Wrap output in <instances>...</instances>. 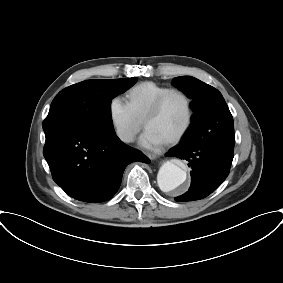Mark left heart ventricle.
Instances as JSON below:
<instances>
[{"mask_svg":"<svg viewBox=\"0 0 283 283\" xmlns=\"http://www.w3.org/2000/svg\"><path fill=\"white\" fill-rule=\"evenodd\" d=\"M186 116L185 100L182 96L173 94L168 97L161 111L147 123L146 129L166 141L179 132Z\"/></svg>","mask_w":283,"mask_h":283,"instance_id":"1","label":"left heart ventricle"}]
</instances>
